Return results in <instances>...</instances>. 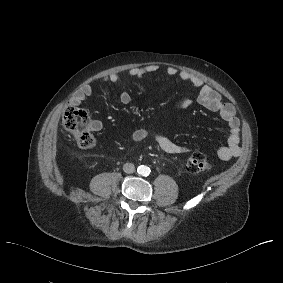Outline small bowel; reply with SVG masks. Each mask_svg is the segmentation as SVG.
<instances>
[{
  "label": "small bowel",
  "instance_id": "c3829d8e",
  "mask_svg": "<svg viewBox=\"0 0 283 283\" xmlns=\"http://www.w3.org/2000/svg\"><path fill=\"white\" fill-rule=\"evenodd\" d=\"M157 69L158 66L155 64L145 67H136L131 69L128 75L130 77L141 78L146 74L157 71ZM166 74L169 77H178L181 81L197 88L198 95L196 102L208 110L218 112L221 118L226 122L229 128V137L226 145L218 148V158L221 160H229L239 156L242 152V148L240 146V121L237 117L235 107L231 103L225 101L219 92L204 84L203 80L194 74L187 71H180L175 67H169ZM102 80L105 83L116 84L119 81V75L113 73L104 77ZM92 93L93 86L91 84H86L72 96L71 104L74 106L80 105L86 98L90 97ZM119 99L122 104L127 105L131 102L132 97L128 92H122ZM192 103V100H185L183 102V107L188 108L192 105ZM101 127V123L97 120L92 121L89 126L92 131H99L101 130ZM147 135V130L137 129L131 134V140L133 142H140L145 139ZM155 140L158 146L166 153L186 154L190 152L188 147L175 143L163 134H156Z\"/></svg>",
  "mask_w": 283,
  "mask_h": 283
}]
</instances>
